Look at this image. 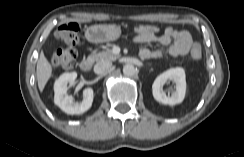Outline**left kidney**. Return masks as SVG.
Returning a JSON list of instances; mask_svg holds the SVG:
<instances>
[{
  "label": "left kidney",
  "instance_id": "left-kidney-1",
  "mask_svg": "<svg viewBox=\"0 0 244 157\" xmlns=\"http://www.w3.org/2000/svg\"><path fill=\"white\" fill-rule=\"evenodd\" d=\"M175 83V91L171 96H167L163 91V86L167 81ZM153 97L158 102L168 105H176L184 100L186 93V76L183 68L177 67L169 69L160 74L152 85Z\"/></svg>",
  "mask_w": 244,
  "mask_h": 157
}]
</instances>
